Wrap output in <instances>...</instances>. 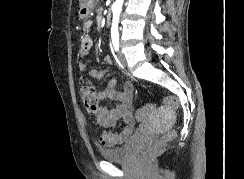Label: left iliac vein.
Listing matches in <instances>:
<instances>
[{"label": "left iliac vein", "mask_w": 244, "mask_h": 179, "mask_svg": "<svg viewBox=\"0 0 244 179\" xmlns=\"http://www.w3.org/2000/svg\"><path fill=\"white\" fill-rule=\"evenodd\" d=\"M118 58L120 63L122 64V66H126L127 65V60L125 58V55L122 52H118Z\"/></svg>", "instance_id": "1"}]
</instances>
